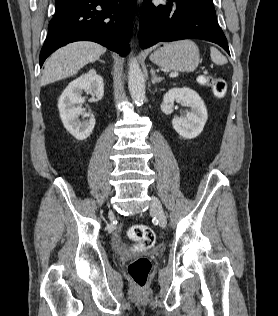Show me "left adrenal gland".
Listing matches in <instances>:
<instances>
[{"label":"left adrenal gland","mask_w":278,"mask_h":316,"mask_svg":"<svg viewBox=\"0 0 278 316\" xmlns=\"http://www.w3.org/2000/svg\"><path fill=\"white\" fill-rule=\"evenodd\" d=\"M151 76H152V78H151L152 84H156V83H159V82L164 80L163 77H158L156 75V72H155V70L153 68L151 69Z\"/></svg>","instance_id":"1"}]
</instances>
